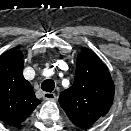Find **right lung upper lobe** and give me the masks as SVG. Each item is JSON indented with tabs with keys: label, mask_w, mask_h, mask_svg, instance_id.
Segmentation results:
<instances>
[{
	"label": "right lung upper lobe",
	"mask_w": 131,
	"mask_h": 131,
	"mask_svg": "<svg viewBox=\"0 0 131 131\" xmlns=\"http://www.w3.org/2000/svg\"><path fill=\"white\" fill-rule=\"evenodd\" d=\"M23 54L10 49L0 57V118L10 124L23 122L41 103L23 76Z\"/></svg>",
	"instance_id": "1"
}]
</instances>
